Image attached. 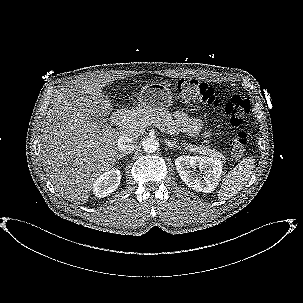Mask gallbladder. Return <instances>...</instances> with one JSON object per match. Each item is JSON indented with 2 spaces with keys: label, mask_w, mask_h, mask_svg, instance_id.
<instances>
[{
  "label": "gallbladder",
  "mask_w": 303,
  "mask_h": 303,
  "mask_svg": "<svg viewBox=\"0 0 303 303\" xmlns=\"http://www.w3.org/2000/svg\"><path fill=\"white\" fill-rule=\"evenodd\" d=\"M105 121H106V118L103 117V116L94 118V122H95L97 125H102V124H104Z\"/></svg>",
  "instance_id": "obj_1"
}]
</instances>
